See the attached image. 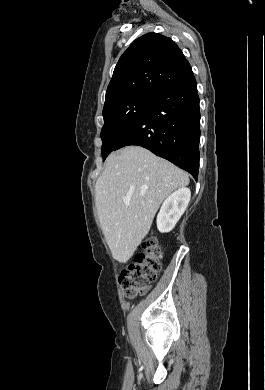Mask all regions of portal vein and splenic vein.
Masks as SVG:
<instances>
[{
  "instance_id": "portal-vein-and-splenic-vein-1",
  "label": "portal vein and splenic vein",
  "mask_w": 265,
  "mask_h": 390,
  "mask_svg": "<svg viewBox=\"0 0 265 390\" xmlns=\"http://www.w3.org/2000/svg\"><path fill=\"white\" fill-rule=\"evenodd\" d=\"M123 202H124L125 204H129V203H130V199H128V198H123Z\"/></svg>"
}]
</instances>
